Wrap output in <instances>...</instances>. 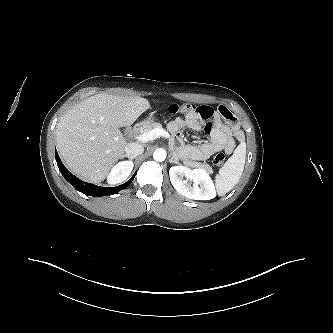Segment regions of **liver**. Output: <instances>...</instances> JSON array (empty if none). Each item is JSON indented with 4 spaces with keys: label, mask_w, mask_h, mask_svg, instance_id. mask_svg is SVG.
I'll use <instances>...</instances> for the list:
<instances>
[{
    "label": "liver",
    "mask_w": 333,
    "mask_h": 333,
    "mask_svg": "<svg viewBox=\"0 0 333 333\" xmlns=\"http://www.w3.org/2000/svg\"><path fill=\"white\" fill-rule=\"evenodd\" d=\"M149 108L139 96L101 93L70 109L56 126L58 151L67 168L87 182L103 181L127 146L118 128L131 126Z\"/></svg>",
    "instance_id": "6515ba94"
}]
</instances>
